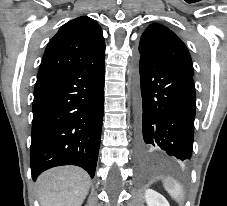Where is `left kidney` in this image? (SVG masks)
<instances>
[{"mask_svg":"<svg viewBox=\"0 0 227 206\" xmlns=\"http://www.w3.org/2000/svg\"><path fill=\"white\" fill-rule=\"evenodd\" d=\"M145 199L148 206H170L162 195L152 189L145 191Z\"/></svg>","mask_w":227,"mask_h":206,"instance_id":"1","label":"left kidney"}]
</instances>
